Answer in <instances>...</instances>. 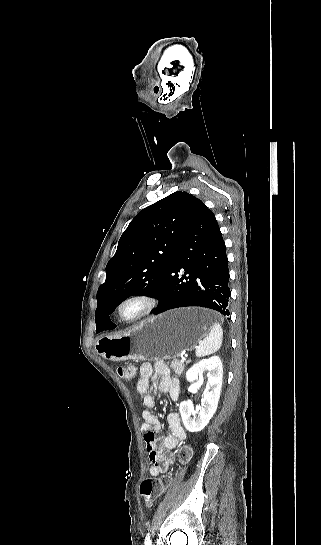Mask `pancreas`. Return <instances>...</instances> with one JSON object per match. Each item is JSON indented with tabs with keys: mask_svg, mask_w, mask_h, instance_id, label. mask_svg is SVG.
I'll return each instance as SVG.
<instances>
[{
	"mask_svg": "<svg viewBox=\"0 0 321 545\" xmlns=\"http://www.w3.org/2000/svg\"><path fill=\"white\" fill-rule=\"evenodd\" d=\"M187 363H191V361H186V365ZM167 365H170L171 369L174 371V375H179V377L185 369V363H181V361H177V359H174L171 363H167Z\"/></svg>",
	"mask_w": 321,
	"mask_h": 545,
	"instance_id": "pancreas-1",
	"label": "pancreas"
}]
</instances>
